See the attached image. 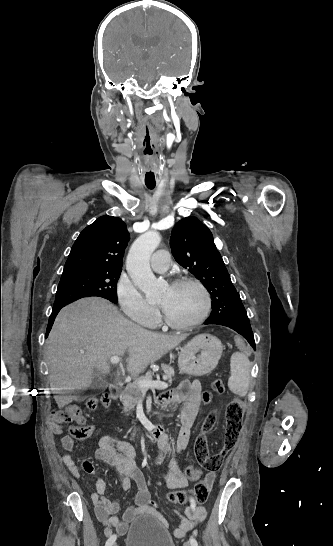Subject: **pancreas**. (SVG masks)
<instances>
[{
  "mask_svg": "<svg viewBox=\"0 0 333 546\" xmlns=\"http://www.w3.org/2000/svg\"><path fill=\"white\" fill-rule=\"evenodd\" d=\"M162 370L164 371L165 376L172 381L174 377V369L168 365L162 364L161 365ZM153 373L147 372L144 376H140L136 378L132 383L128 384L124 390H123V397H122V403L124 406V412L127 413L130 412V410H133L136 406L140 396H141V389L138 387V382L140 380H152Z\"/></svg>",
  "mask_w": 333,
  "mask_h": 546,
  "instance_id": "cf45deb5",
  "label": "pancreas"
}]
</instances>
